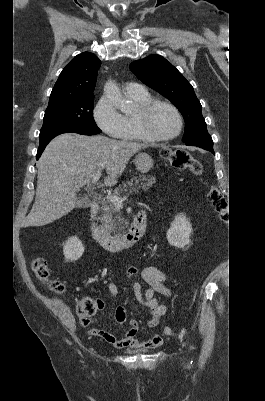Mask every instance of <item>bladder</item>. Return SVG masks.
Instances as JSON below:
<instances>
[{"label":"bladder","instance_id":"obj_1","mask_svg":"<svg viewBox=\"0 0 265 401\" xmlns=\"http://www.w3.org/2000/svg\"><path fill=\"white\" fill-rule=\"evenodd\" d=\"M147 350V349H146ZM134 352H140L141 350H133Z\"/></svg>","mask_w":265,"mask_h":401}]
</instances>
